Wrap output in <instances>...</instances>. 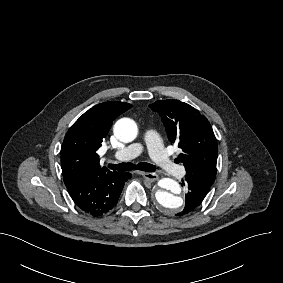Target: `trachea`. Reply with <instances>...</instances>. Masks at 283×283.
Returning <instances> with one entry per match:
<instances>
[{
	"instance_id": "3493384b",
	"label": "trachea",
	"mask_w": 283,
	"mask_h": 283,
	"mask_svg": "<svg viewBox=\"0 0 283 283\" xmlns=\"http://www.w3.org/2000/svg\"><path fill=\"white\" fill-rule=\"evenodd\" d=\"M110 169L112 170H118V171H131V170H141L145 172H154L155 167L146 162H140L137 164L133 163H120V164H109Z\"/></svg>"
}]
</instances>
